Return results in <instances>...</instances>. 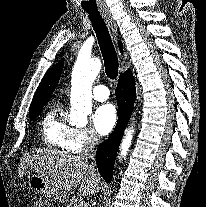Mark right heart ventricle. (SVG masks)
<instances>
[{
	"label": "right heart ventricle",
	"instance_id": "e07e8e85",
	"mask_svg": "<svg viewBox=\"0 0 206 207\" xmlns=\"http://www.w3.org/2000/svg\"><path fill=\"white\" fill-rule=\"evenodd\" d=\"M71 127L59 114V106H54L41 122L40 134L43 142L52 148L70 150L68 136Z\"/></svg>",
	"mask_w": 206,
	"mask_h": 207
}]
</instances>
